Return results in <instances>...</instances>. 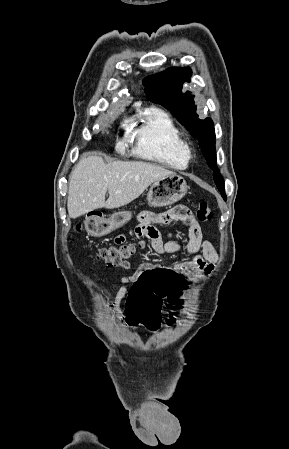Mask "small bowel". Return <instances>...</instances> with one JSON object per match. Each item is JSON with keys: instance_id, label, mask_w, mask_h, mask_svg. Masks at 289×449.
I'll list each match as a JSON object with an SVG mask.
<instances>
[{"instance_id": "1", "label": "small bowel", "mask_w": 289, "mask_h": 449, "mask_svg": "<svg viewBox=\"0 0 289 449\" xmlns=\"http://www.w3.org/2000/svg\"><path fill=\"white\" fill-rule=\"evenodd\" d=\"M138 224L130 232L136 237H145L149 240L153 251L159 255H171L181 250V246L176 242H163L161 234L156 225H169L177 221H183L188 226V242L185 246L186 259L176 261L171 268L180 271L181 276L186 280L197 282L204 275L213 270L217 262L218 255L211 242L204 240L199 224L191 219L189 210L185 206H177L173 209L154 213L143 211L138 215ZM126 241V235L120 234L115 238L116 244ZM119 267L130 270L128 261L122 262ZM144 268H158L151 263L141 264L135 271L123 276L120 279V286L110 307L114 312L117 321L125 320L121 302L133 289V283L140 276Z\"/></svg>"}]
</instances>
